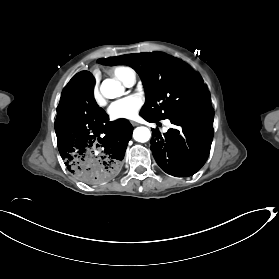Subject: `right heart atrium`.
<instances>
[{
    "mask_svg": "<svg viewBox=\"0 0 279 279\" xmlns=\"http://www.w3.org/2000/svg\"><path fill=\"white\" fill-rule=\"evenodd\" d=\"M93 97H94L95 100H98L99 97H100L99 91L96 87L93 89Z\"/></svg>",
    "mask_w": 279,
    "mask_h": 279,
    "instance_id": "right-heart-atrium-1",
    "label": "right heart atrium"
}]
</instances>
